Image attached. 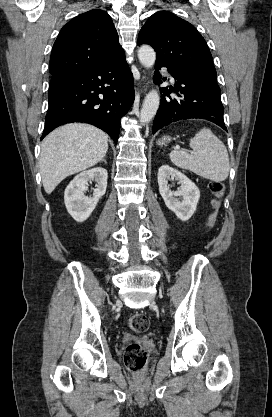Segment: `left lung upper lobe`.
Segmentation results:
<instances>
[{"label": "left lung upper lobe", "mask_w": 272, "mask_h": 417, "mask_svg": "<svg viewBox=\"0 0 272 417\" xmlns=\"http://www.w3.org/2000/svg\"><path fill=\"white\" fill-rule=\"evenodd\" d=\"M143 43L155 49L156 63L179 69L219 88L206 41L189 22L168 11L157 12L139 33L138 44Z\"/></svg>", "instance_id": "5c2ea615"}]
</instances>
